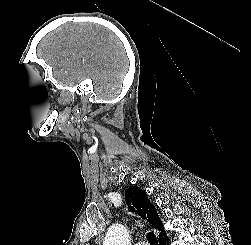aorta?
Masks as SVG:
<instances>
[{"mask_svg":"<svg viewBox=\"0 0 251 245\" xmlns=\"http://www.w3.org/2000/svg\"><path fill=\"white\" fill-rule=\"evenodd\" d=\"M103 245H130L127 229L121 224L112 225L106 233Z\"/></svg>","mask_w":251,"mask_h":245,"instance_id":"aorta-1","label":"aorta"}]
</instances>
